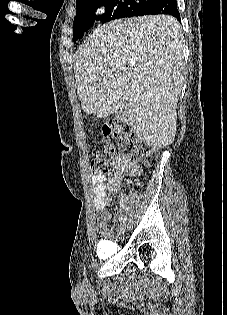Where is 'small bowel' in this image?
Masks as SVG:
<instances>
[{"label": "small bowel", "mask_w": 227, "mask_h": 315, "mask_svg": "<svg viewBox=\"0 0 227 315\" xmlns=\"http://www.w3.org/2000/svg\"><path fill=\"white\" fill-rule=\"evenodd\" d=\"M141 171V167L131 157L124 153H119L112 161L111 177L104 175L91 176L93 207L97 213L98 230H102L106 221L112 218L111 213L107 209L108 198L119 193L121 182L126 175H139ZM126 199V194L122 193L118 213H120Z\"/></svg>", "instance_id": "obj_1"}]
</instances>
